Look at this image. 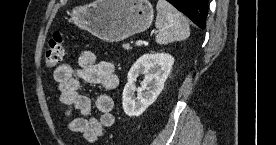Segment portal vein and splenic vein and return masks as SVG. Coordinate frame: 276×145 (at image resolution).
I'll return each mask as SVG.
<instances>
[{
	"label": "portal vein and splenic vein",
	"instance_id": "portal-vein-and-splenic-vein-1",
	"mask_svg": "<svg viewBox=\"0 0 276 145\" xmlns=\"http://www.w3.org/2000/svg\"><path fill=\"white\" fill-rule=\"evenodd\" d=\"M136 45H137V46H142V45H143V42H142L141 40H138V41H136Z\"/></svg>",
	"mask_w": 276,
	"mask_h": 145
}]
</instances>
